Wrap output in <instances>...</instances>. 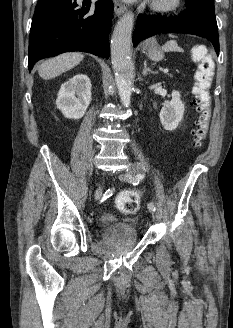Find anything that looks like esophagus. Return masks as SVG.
Segmentation results:
<instances>
[{
    "label": "esophagus",
    "mask_w": 233,
    "mask_h": 328,
    "mask_svg": "<svg viewBox=\"0 0 233 328\" xmlns=\"http://www.w3.org/2000/svg\"><path fill=\"white\" fill-rule=\"evenodd\" d=\"M114 11L117 15H122L126 11V6L120 0H113Z\"/></svg>",
    "instance_id": "1"
}]
</instances>
